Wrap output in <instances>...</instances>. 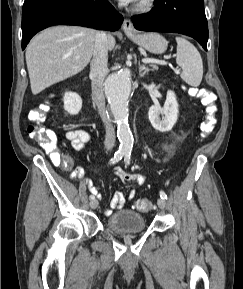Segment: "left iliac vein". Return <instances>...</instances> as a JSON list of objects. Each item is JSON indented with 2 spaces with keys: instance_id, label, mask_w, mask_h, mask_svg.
<instances>
[{
  "instance_id": "4c4485c4",
  "label": "left iliac vein",
  "mask_w": 243,
  "mask_h": 289,
  "mask_svg": "<svg viewBox=\"0 0 243 289\" xmlns=\"http://www.w3.org/2000/svg\"><path fill=\"white\" fill-rule=\"evenodd\" d=\"M157 204H158V206H159L161 209H164L165 206H166V202H165V200L162 199V198H159V199L157 200Z\"/></svg>"
}]
</instances>
